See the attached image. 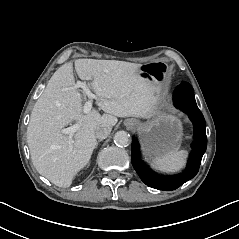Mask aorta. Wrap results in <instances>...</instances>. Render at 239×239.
<instances>
[{
    "label": "aorta",
    "mask_w": 239,
    "mask_h": 239,
    "mask_svg": "<svg viewBox=\"0 0 239 239\" xmlns=\"http://www.w3.org/2000/svg\"><path fill=\"white\" fill-rule=\"evenodd\" d=\"M114 141L118 146H128L131 138L126 131L121 130L115 133Z\"/></svg>",
    "instance_id": "obj_1"
}]
</instances>
